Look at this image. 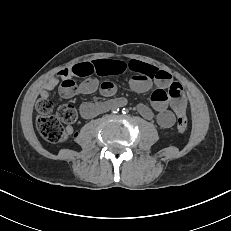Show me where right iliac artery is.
<instances>
[{"label": "right iliac artery", "instance_id": "1", "mask_svg": "<svg viewBox=\"0 0 231 231\" xmlns=\"http://www.w3.org/2000/svg\"><path fill=\"white\" fill-rule=\"evenodd\" d=\"M119 112V108L118 107H113L112 108V113H118Z\"/></svg>", "mask_w": 231, "mask_h": 231}]
</instances>
